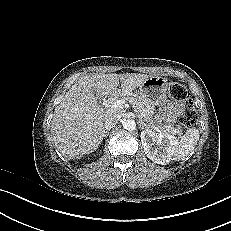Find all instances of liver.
I'll return each mask as SVG.
<instances>
[{"mask_svg": "<svg viewBox=\"0 0 231 231\" xmlns=\"http://www.w3.org/2000/svg\"><path fill=\"white\" fill-rule=\"evenodd\" d=\"M149 75L95 74L81 77L66 92L55 108L51 121V134L57 149L67 159L81 158L94 152L105 134L107 115L100 111L94 96H118L139 88ZM121 89H118V86Z\"/></svg>", "mask_w": 231, "mask_h": 231, "instance_id": "obj_1", "label": "liver"}]
</instances>
